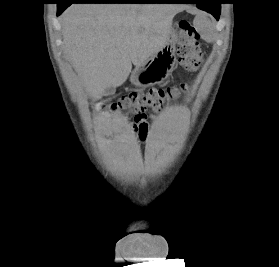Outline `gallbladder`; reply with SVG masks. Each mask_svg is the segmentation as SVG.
I'll use <instances>...</instances> for the list:
<instances>
[{
  "mask_svg": "<svg viewBox=\"0 0 279 267\" xmlns=\"http://www.w3.org/2000/svg\"><path fill=\"white\" fill-rule=\"evenodd\" d=\"M114 92V87H108L105 91L104 94H111Z\"/></svg>",
  "mask_w": 279,
  "mask_h": 267,
  "instance_id": "obj_1",
  "label": "gallbladder"
}]
</instances>
